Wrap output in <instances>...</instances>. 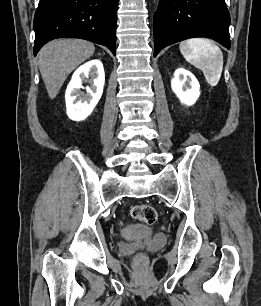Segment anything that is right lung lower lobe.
Instances as JSON below:
<instances>
[{"instance_id":"98d812e1","label":"right lung lower lobe","mask_w":261,"mask_h":306,"mask_svg":"<svg viewBox=\"0 0 261 306\" xmlns=\"http://www.w3.org/2000/svg\"><path fill=\"white\" fill-rule=\"evenodd\" d=\"M118 0H40L34 16V56L48 41L86 39L115 54Z\"/></svg>"}]
</instances>
